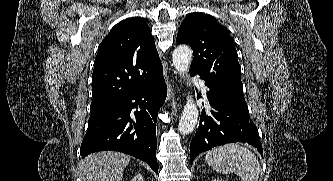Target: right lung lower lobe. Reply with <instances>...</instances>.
Wrapping results in <instances>:
<instances>
[{
  "instance_id": "98d812e1",
  "label": "right lung lower lobe",
  "mask_w": 333,
  "mask_h": 181,
  "mask_svg": "<svg viewBox=\"0 0 333 181\" xmlns=\"http://www.w3.org/2000/svg\"><path fill=\"white\" fill-rule=\"evenodd\" d=\"M166 95L167 87L162 77L153 85L91 113L80 155L84 158L97 151H119L145 161L157 173L156 121ZM138 107L141 110L131 117L130 111Z\"/></svg>"
}]
</instances>
